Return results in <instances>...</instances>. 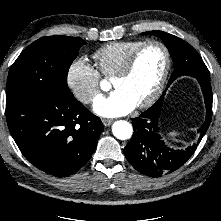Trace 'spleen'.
Listing matches in <instances>:
<instances>
[{
	"instance_id": "1",
	"label": "spleen",
	"mask_w": 221,
	"mask_h": 221,
	"mask_svg": "<svg viewBox=\"0 0 221 221\" xmlns=\"http://www.w3.org/2000/svg\"><path fill=\"white\" fill-rule=\"evenodd\" d=\"M168 135H169L170 137H175V136L178 135V132H170Z\"/></svg>"
}]
</instances>
